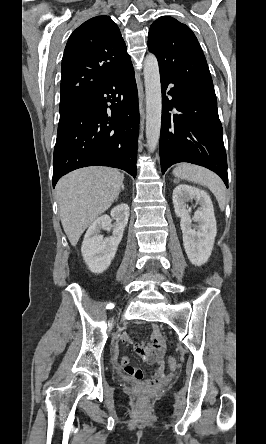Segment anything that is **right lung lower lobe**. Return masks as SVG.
I'll list each match as a JSON object with an SVG mask.
<instances>
[{"label":"right lung lower lobe","instance_id":"1","mask_svg":"<svg viewBox=\"0 0 266 444\" xmlns=\"http://www.w3.org/2000/svg\"><path fill=\"white\" fill-rule=\"evenodd\" d=\"M138 132V93L130 61L60 115L53 187L68 172L94 165L119 168L136 177Z\"/></svg>","mask_w":266,"mask_h":444}]
</instances>
